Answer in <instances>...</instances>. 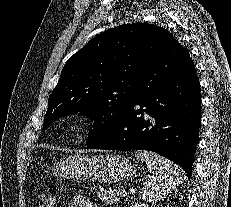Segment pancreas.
I'll use <instances>...</instances> for the list:
<instances>
[{
  "instance_id": "1",
  "label": "pancreas",
  "mask_w": 231,
  "mask_h": 207,
  "mask_svg": "<svg viewBox=\"0 0 231 207\" xmlns=\"http://www.w3.org/2000/svg\"><path fill=\"white\" fill-rule=\"evenodd\" d=\"M97 195L103 202L112 205L119 201L120 193L112 188H99Z\"/></svg>"
}]
</instances>
